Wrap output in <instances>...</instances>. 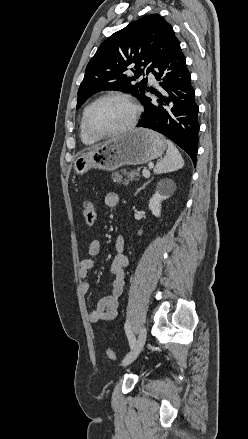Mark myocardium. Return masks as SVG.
I'll return each mask as SVG.
<instances>
[{"label":"myocardium","mask_w":248,"mask_h":439,"mask_svg":"<svg viewBox=\"0 0 248 439\" xmlns=\"http://www.w3.org/2000/svg\"><path fill=\"white\" fill-rule=\"evenodd\" d=\"M106 99H116V100H121V101L125 102L126 104H128L131 107L132 116H131V119L129 120V122L124 127L120 128V129H117L114 131H109V132H97L89 126L88 115H89V112L93 106H95L100 101L106 100ZM139 114H140V108L131 97H129L125 94H121V93H106V94H103V95L97 97L95 100H93L85 108L84 113H83V117H82V123H83L84 130L90 136L97 138V139H101V138L124 134V133L131 131L136 126V123H137L138 118H139Z\"/></svg>","instance_id":"myocardium-1"}]
</instances>
